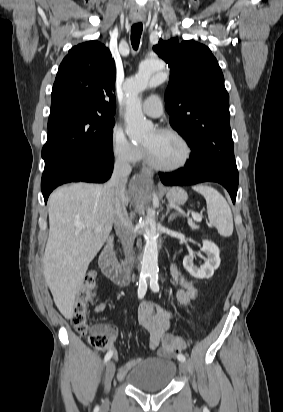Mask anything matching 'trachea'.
I'll return each instance as SVG.
<instances>
[{"label":"trachea","instance_id":"obj_1","mask_svg":"<svg viewBox=\"0 0 283 412\" xmlns=\"http://www.w3.org/2000/svg\"><path fill=\"white\" fill-rule=\"evenodd\" d=\"M143 30L142 23L133 24L131 27V44L134 50H137Z\"/></svg>","mask_w":283,"mask_h":412}]
</instances>
